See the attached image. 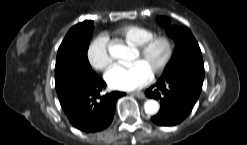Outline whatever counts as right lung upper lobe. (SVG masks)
<instances>
[{"instance_id": "right-lung-upper-lobe-1", "label": "right lung upper lobe", "mask_w": 247, "mask_h": 145, "mask_svg": "<svg viewBox=\"0 0 247 145\" xmlns=\"http://www.w3.org/2000/svg\"><path fill=\"white\" fill-rule=\"evenodd\" d=\"M90 22H92V21H84V22L79 23V24H77V25H85V24H88V23H90Z\"/></svg>"}]
</instances>
